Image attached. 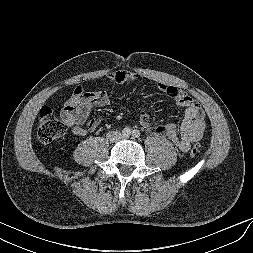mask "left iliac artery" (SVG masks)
I'll return each instance as SVG.
<instances>
[{
	"label": "left iliac artery",
	"mask_w": 253,
	"mask_h": 253,
	"mask_svg": "<svg viewBox=\"0 0 253 253\" xmlns=\"http://www.w3.org/2000/svg\"><path fill=\"white\" fill-rule=\"evenodd\" d=\"M132 136H133L134 138H139V137L141 136V133H140L139 130L136 129V130H133Z\"/></svg>",
	"instance_id": "44dca946"
}]
</instances>
